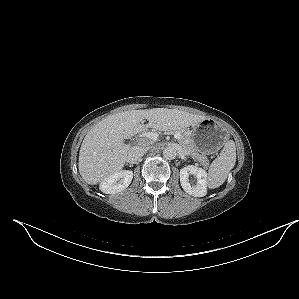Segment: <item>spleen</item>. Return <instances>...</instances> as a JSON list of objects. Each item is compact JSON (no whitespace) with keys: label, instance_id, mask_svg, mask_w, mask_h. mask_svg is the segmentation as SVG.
Listing matches in <instances>:
<instances>
[{"label":"spleen","instance_id":"spleen-1","mask_svg":"<svg viewBox=\"0 0 299 299\" xmlns=\"http://www.w3.org/2000/svg\"><path fill=\"white\" fill-rule=\"evenodd\" d=\"M236 162V147L233 140L226 142L220 156L210 165L208 170L207 185L210 189L221 186L227 179L228 173Z\"/></svg>","mask_w":299,"mask_h":299}]
</instances>
